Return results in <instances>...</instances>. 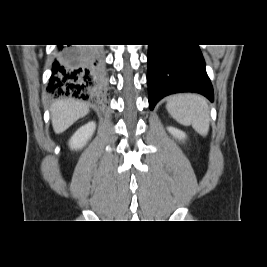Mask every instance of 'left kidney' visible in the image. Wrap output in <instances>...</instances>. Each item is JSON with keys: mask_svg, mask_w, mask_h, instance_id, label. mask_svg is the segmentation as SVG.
<instances>
[{"mask_svg": "<svg viewBox=\"0 0 267 267\" xmlns=\"http://www.w3.org/2000/svg\"><path fill=\"white\" fill-rule=\"evenodd\" d=\"M167 130L174 138L178 140H184L186 138V134L177 128L168 127Z\"/></svg>", "mask_w": 267, "mask_h": 267, "instance_id": "5707ae66", "label": "left kidney"}]
</instances>
